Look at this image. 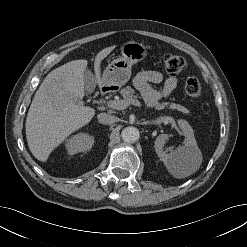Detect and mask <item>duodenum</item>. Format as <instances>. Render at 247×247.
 <instances>
[{
    "instance_id": "1",
    "label": "duodenum",
    "mask_w": 247,
    "mask_h": 247,
    "mask_svg": "<svg viewBox=\"0 0 247 247\" xmlns=\"http://www.w3.org/2000/svg\"><path fill=\"white\" fill-rule=\"evenodd\" d=\"M110 92H112V88L111 87H102L99 91V93L102 95V96H105L107 94H109Z\"/></svg>"
}]
</instances>
